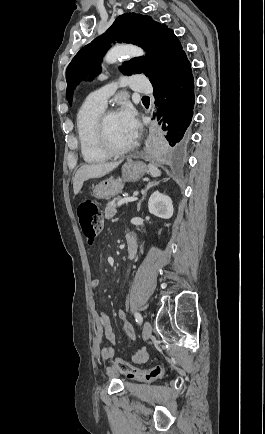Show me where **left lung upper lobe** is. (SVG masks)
<instances>
[{"instance_id":"obj_1","label":"left lung upper lobe","mask_w":265,"mask_h":434,"mask_svg":"<svg viewBox=\"0 0 265 434\" xmlns=\"http://www.w3.org/2000/svg\"><path fill=\"white\" fill-rule=\"evenodd\" d=\"M114 41L141 46L145 57L133 58L123 63L126 75L143 73L153 87L163 83L178 58L185 54L174 32L151 16L125 13L119 16L105 34L83 47L68 65L66 71V96L71 104L76 85L88 76H96L101 68L104 53Z\"/></svg>"}]
</instances>
